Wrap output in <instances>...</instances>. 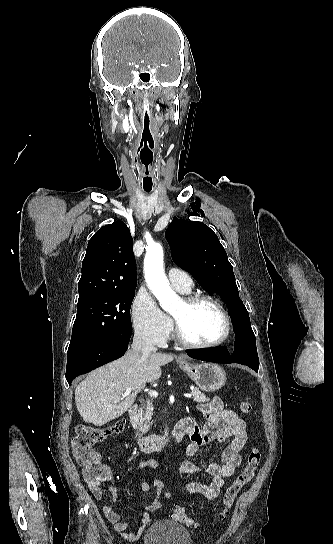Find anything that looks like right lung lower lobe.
Returning <instances> with one entry per match:
<instances>
[{"mask_svg": "<svg viewBox=\"0 0 333 544\" xmlns=\"http://www.w3.org/2000/svg\"><path fill=\"white\" fill-rule=\"evenodd\" d=\"M131 337V329L122 330L96 342L89 348L67 357L66 379L71 383L81 374L124 355Z\"/></svg>", "mask_w": 333, "mask_h": 544, "instance_id": "obj_1", "label": "right lung lower lobe"}]
</instances>
